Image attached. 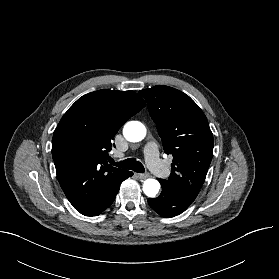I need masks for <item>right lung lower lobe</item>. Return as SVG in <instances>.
Wrapping results in <instances>:
<instances>
[{
  "instance_id": "98d812e1",
  "label": "right lung lower lobe",
  "mask_w": 279,
  "mask_h": 279,
  "mask_svg": "<svg viewBox=\"0 0 279 279\" xmlns=\"http://www.w3.org/2000/svg\"><path fill=\"white\" fill-rule=\"evenodd\" d=\"M133 175L132 172L128 171L127 173H125L121 178H119L117 181H115L106 191L103 199L101 200V202L92 210L87 211V212H82L83 215L86 216H97L99 215L102 211H104L106 208H108L112 202L114 201L119 188H120V184L122 183V181H124L125 179H127L128 177H131Z\"/></svg>"
}]
</instances>
